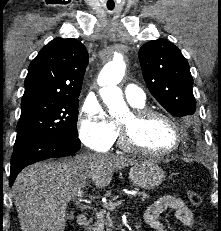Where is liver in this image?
<instances>
[{"instance_id": "obj_1", "label": "liver", "mask_w": 221, "mask_h": 231, "mask_svg": "<svg viewBox=\"0 0 221 231\" xmlns=\"http://www.w3.org/2000/svg\"><path fill=\"white\" fill-rule=\"evenodd\" d=\"M137 161L114 154H84L44 161L22 170L13 185L22 231H64L67 203L88 184L108 186L117 169Z\"/></svg>"}]
</instances>
